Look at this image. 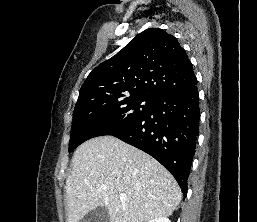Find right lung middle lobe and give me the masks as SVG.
Returning a JSON list of instances; mask_svg holds the SVG:
<instances>
[{
  "label": "right lung middle lobe",
  "instance_id": "1",
  "mask_svg": "<svg viewBox=\"0 0 257 222\" xmlns=\"http://www.w3.org/2000/svg\"><path fill=\"white\" fill-rule=\"evenodd\" d=\"M155 98L148 96L94 97L76 105L69 152L88 139L113 135L134 125L154 109Z\"/></svg>",
  "mask_w": 257,
  "mask_h": 222
}]
</instances>
